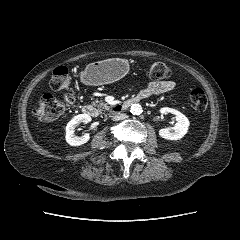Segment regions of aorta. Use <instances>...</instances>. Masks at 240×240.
<instances>
[{
  "mask_svg": "<svg viewBox=\"0 0 240 240\" xmlns=\"http://www.w3.org/2000/svg\"><path fill=\"white\" fill-rule=\"evenodd\" d=\"M130 112L133 115H140L143 112L142 106L140 104H132L130 108Z\"/></svg>",
  "mask_w": 240,
  "mask_h": 240,
  "instance_id": "762f6f07",
  "label": "aorta"
}]
</instances>
